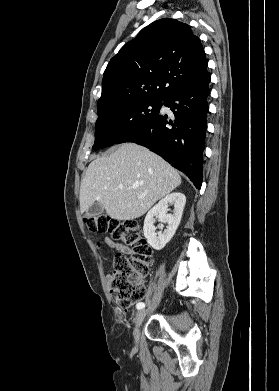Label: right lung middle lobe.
<instances>
[{
	"instance_id": "dd1d6c3e",
	"label": "right lung middle lobe",
	"mask_w": 279,
	"mask_h": 391,
	"mask_svg": "<svg viewBox=\"0 0 279 391\" xmlns=\"http://www.w3.org/2000/svg\"><path fill=\"white\" fill-rule=\"evenodd\" d=\"M161 106L162 101L143 99L99 113L93 149L116 144L130 130L154 119Z\"/></svg>"
}]
</instances>
